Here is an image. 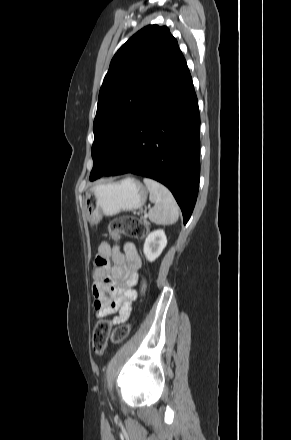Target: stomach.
I'll list each match as a JSON object with an SVG mask.
<instances>
[{
  "instance_id": "0dacf381",
  "label": "stomach",
  "mask_w": 291,
  "mask_h": 440,
  "mask_svg": "<svg viewBox=\"0 0 291 440\" xmlns=\"http://www.w3.org/2000/svg\"><path fill=\"white\" fill-rule=\"evenodd\" d=\"M148 190L140 181L127 177L120 181L96 184L85 194L84 210L90 224H97L103 215L114 216L122 211L141 208Z\"/></svg>"
}]
</instances>
